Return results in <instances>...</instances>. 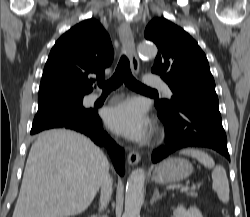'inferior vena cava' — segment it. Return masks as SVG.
<instances>
[{
    "instance_id": "1",
    "label": "inferior vena cava",
    "mask_w": 250,
    "mask_h": 217,
    "mask_svg": "<svg viewBox=\"0 0 250 217\" xmlns=\"http://www.w3.org/2000/svg\"><path fill=\"white\" fill-rule=\"evenodd\" d=\"M112 193V179L110 175H107L101 184V195H100V204L99 210L102 211L106 208L109 203L110 196Z\"/></svg>"
}]
</instances>
